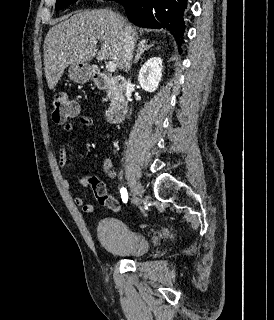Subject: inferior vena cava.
Instances as JSON below:
<instances>
[{
	"instance_id": "602c4592",
	"label": "inferior vena cava",
	"mask_w": 274,
	"mask_h": 320,
	"mask_svg": "<svg viewBox=\"0 0 274 320\" xmlns=\"http://www.w3.org/2000/svg\"><path fill=\"white\" fill-rule=\"evenodd\" d=\"M121 38L122 42H124V60H123V68L125 72H128L131 62H132V54L134 50V40H133V30L131 26H125V24H121Z\"/></svg>"
}]
</instances>
